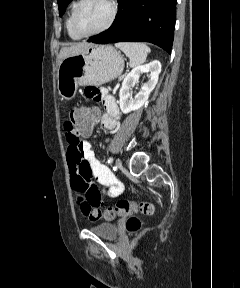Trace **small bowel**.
<instances>
[{"label": "small bowel", "instance_id": "small-bowel-1", "mask_svg": "<svg viewBox=\"0 0 240 288\" xmlns=\"http://www.w3.org/2000/svg\"><path fill=\"white\" fill-rule=\"evenodd\" d=\"M87 98L99 101L104 106V113L101 118L103 127L113 131L120 118L119 108L114 96L107 89L102 87L88 86L85 89ZM64 133L67 141V159L72 189L76 194L88 197L92 194L105 193L92 181L94 178L99 184L108 187L106 194L109 197H118L124 191V185L119 181L110 169L101 163L91 148V145L84 138L88 137L91 130L77 132L66 119Z\"/></svg>", "mask_w": 240, "mask_h": 288}]
</instances>
